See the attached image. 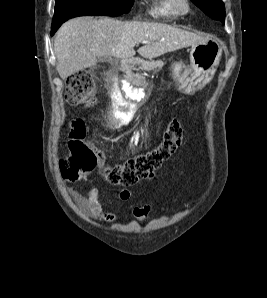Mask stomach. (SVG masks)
Listing matches in <instances>:
<instances>
[{"label": "stomach", "instance_id": "obj_1", "mask_svg": "<svg viewBox=\"0 0 267 298\" xmlns=\"http://www.w3.org/2000/svg\"><path fill=\"white\" fill-rule=\"evenodd\" d=\"M221 55L222 46L216 39H207L205 43L193 45L190 64L180 63L172 67L177 89L186 94H194L204 87L212 79Z\"/></svg>", "mask_w": 267, "mask_h": 298}]
</instances>
